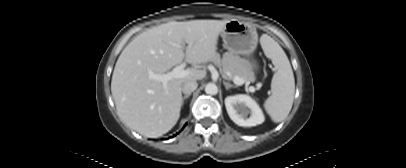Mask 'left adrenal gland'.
Returning a JSON list of instances; mask_svg holds the SVG:
<instances>
[{
	"label": "left adrenal gland",
	"mask_w": 406,
	"mask_h": 168,
	"mask_svg": "<svg viewBox=\"0 0 406 168\" xmlns=\"http://www.w3.org/2000/svg\"><path fill=\"white\" fill-rule=\"evenodd\" d=\"M223 84H224L226 90H228L229 88H232V87L237 88V85L230 84L229 82H226V81H223Z\"/></svg>",
	"instance_id": "left-adrenal-gland-1"
}]
</instances>
